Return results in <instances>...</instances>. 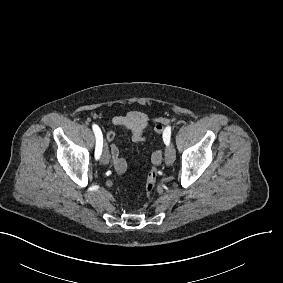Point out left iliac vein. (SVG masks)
<instances>
[{
  "instance_id": "obj_1",
  "label": "left iliac vein",
  "mask_w": 283,
  "mask_h": 283,
  "mask_svg": "<svg viewBox=\"0 0 283 283\" xmlns=\"http://www.w3.org/2000/svg\"><path fill=\"white\" fill-rule=\"evenodd\" d=\"M176 160V153L173 146L165 148V162L167 165H172Z\"/></svg>"
}]
</instances>
